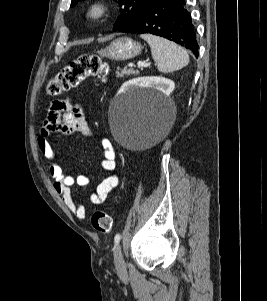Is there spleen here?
I'll use <instances>...</instances> for the list:
<instances>
[{
  "label": "spleen",
  "mask_w": 267,
  "mask_h": 301,
  "mask_svg": "<svg viewBox=\"0 0 267 301\" xmlns=\"http://www.w3.org/2000/svg\"><path fill=\"white\" fill-rule=\"evenodd\" d=\"M141 38L149 44L152 57L160 72L170 73L188 65V53L177 44L150 34H143Z\"/></svg>",
  "instance_id": "spleen-1"
}]
</instances>
